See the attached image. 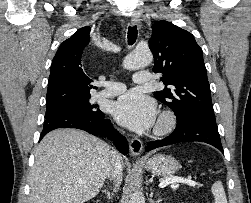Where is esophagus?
Returning <instances> with one entry per match:
<instances>
[{
    "mask_svg": "<svg viewBox=\"0 0 251 203\" xmlns=\"http://www.w3.org/2000/svg\"><path fill=\"white\" fill-rule=\"evenodd\" d=\"M131 25L132 26H139L140 25V19L133 15L131 18ZM143 149L142 141L138 138H132L130 141V153L133 157H140Z\"/></svg>",
    "mask_w": 251,
    "mask_h": 203,
    "instance_id": "obj_1",
    "label": "esophagus"
}]
</instances>
